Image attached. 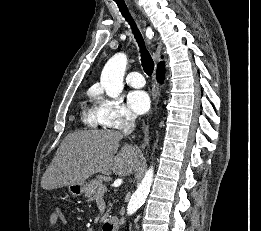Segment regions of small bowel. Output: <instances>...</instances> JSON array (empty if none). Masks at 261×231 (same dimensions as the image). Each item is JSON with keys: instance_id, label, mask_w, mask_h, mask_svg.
I'll list each match as a JSON object with an SVG mask.
<instances>
[{"instance_id": "c3829d8e", "label": "small bowel", "mask_w": 261, "mask_h": 231, "mask_svg": "<svg viewBox=\"0 0 261 231\" xmlns=\"http://www.w3.org/2000/svg\"><path fill=\"white\" fill-rule=\"evenodd\" d=\"M48 221H49V225L51 227H55L56 225L58 224H61V225H65L66 224V219L65 217L63 216V214L61 212H53L49 215V218H48Z\"/></svg>"}]
</instances>
